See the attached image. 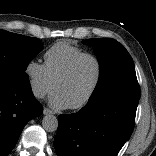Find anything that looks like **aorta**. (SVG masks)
Instances as JSON below:
<instances>
[{
	"label": "aorta",
	"instance_id": "762f6f07",
	"mask_svg": "<svg viewBox=\"0 0 156 156\" xmlns=\"http://www.w3.org/2000/svg\"><path fill=\"white\" fill-rule=\"evenodd\" d=\"M42 126L47 132H54L58 128V119L54 115H45L42 120Z\"/></svg>",
	"mask_w": 156,
	"mask_h": 156
}]
</instances>
